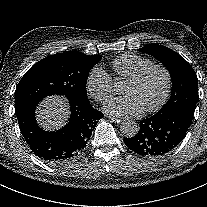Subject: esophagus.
<instances>
[{"mask_svg":"<svg viewBox=\"0 0 207 207\" xmlns=\"http://www.w3.org/2000/svg\"><path fill=\"white\" fill-rule=\"evenodd\" d=\"M109 119L113 122H120L119 119H117L116 117H113V116H109Z\"/></svg>","mask_w":207,"mask_h":207,"instance_id":"esophagus-1","label":"esophagus"}]
</instances>
